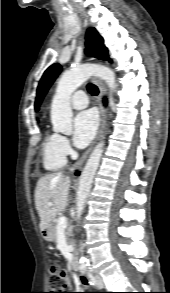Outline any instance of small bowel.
Wrapping results in <instances>:
<instances>
[{"label":"small bowel","instance_id":"small-bowel-1","mask_svg":"<svg viewBox=\"0 0 170 293\" xmlns=\"http://www.w3.org/2000/svg\"><path fill=\"white\" fill-rule=\"evenodd\" d=\"M77 283L79 285H81L83 288H88V281H87L86 277H84V276H81L79 278V280L77 281Z\"/></svg>","mask_w":170,"mask_h":293}]
</instances>
